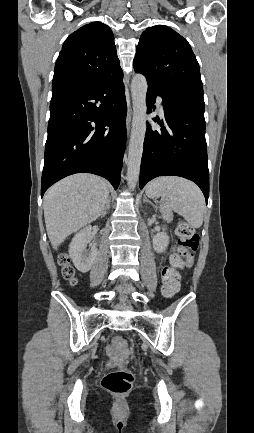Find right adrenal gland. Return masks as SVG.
<instances>
[{
    "label": "right adrenal gland",
    "mask_w": 254,
    "mask_h": 433,
    "mask_svg": "<svg viewBox=\"0 0 254 433\" xmlns=\"http://www.w3.org/2000/svg\"><path fill=\"white\" fill-rule=\"evenodd\" d=\"M110 201H111V198L109 197L108 200H107V202H106V205H105V207H104V209L102 211L101 216H105L106 213H107V211L110 209Z\"/></svg>",
    "instance_id": "obj_1"
}]
</instances>
